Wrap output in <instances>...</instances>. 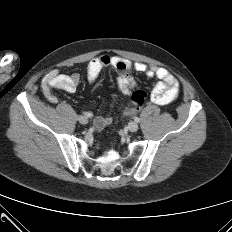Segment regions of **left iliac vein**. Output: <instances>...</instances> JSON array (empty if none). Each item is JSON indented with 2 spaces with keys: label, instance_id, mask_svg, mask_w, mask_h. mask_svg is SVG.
I'll list each match as a JSON object with an SVG mask.
<instances>
[{
  "label": "left iliac vein",
  "instance_id": "4c4485c4",
  "mask_svg": "<svg viewBox=\"0 0 232 232\" xmlns=\"http://www.w3.org/2000/svg\"><path fill=\"white\" fill-rule=\"evenodd\" d=\"M128 129L131 131V132H136L138 130V124L136 122H130L128 124Z\"/></svg>",
  "mask_w": 232,
  "mask_h": 232
}]
</instances>
